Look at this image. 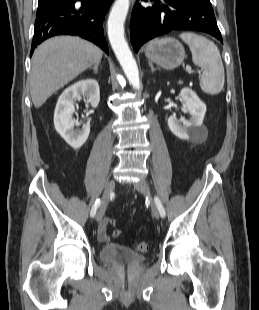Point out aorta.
<instances>
[{
  "mask_svg": "<svg viewBox=\"0 0 259 310\" xmlns=\"http://www.w3.org/2000/svg\"><path fill=\"white\" fill-rule=\"evenodd\" d=\"M129 0H116L108 18V37L112 49L135 89H140L139 71L135 59L124 38V22L129 10Z\"/></svg>",
  "mask_w": 259,
  "mask_h": 310,
  "instance_id": "1",
  "label": "aorta"
}]
</instances>
